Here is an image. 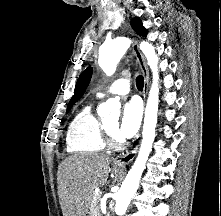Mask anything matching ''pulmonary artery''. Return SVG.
<instances>
[{
    "instance_id": "1",
    "label": "pulmonary artery",
    "mask_w": 221,
    "mask_h": 216,
    "mask_svg": "<svg viewBox=\"0 0 221 216\" xmlns=\"http://www.w3.org/2000/svg\"><path fill=\"white\" fill-rule=\"evenodd\" d=\"M131 81L128 77L118 78L96 94V97L102 99L110 94L124 95L130 90Z\"/></svg>"
}]
</instances>
